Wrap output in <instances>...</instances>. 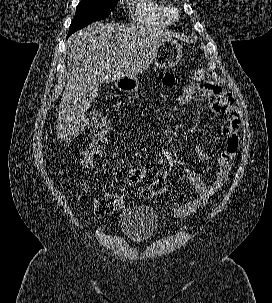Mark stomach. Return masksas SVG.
<instances>
[{
    "instance_id": "0dacf381",
    "label": "stomach",
    "mask_w": 272,
    "mask_h": 303,
    "mask_svg": "<svg viewBox=\"0 0 272 303\" xmlns=\"http://www.w3.org/2000/svg\"><path fill=\"white\" fill-rule=\"evenodd\" d=\"M181 57L182 45L170 39L159 46L154 63L161 69L170 68L177 65ZM137 85L138 79L136 77L122 78L116 83L117 88L124 92L136 91Z\"/></svg>"
}]
</instances>
